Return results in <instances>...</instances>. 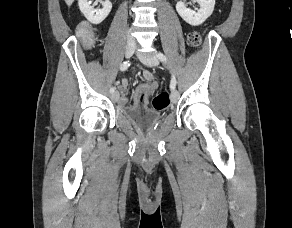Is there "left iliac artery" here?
Listing matches in <instances>:
<instances>
[{
    "label": "left iliac artery",
    "mask_w": 292,
    "mask_h": 228,
    "mask_svg": "<svg viewBox=\"0 0 292 228\" xmlns=\"http://www.w3.org/2000/svg\"><path fill=\"white\" fill-rule=\"evenodd\" d=\"M156 55L160 61H162L163 63H167V58L163 53L157 52ZM175 87H176V78L174 75H172L171 82H170V89L173 91Z\"/></svg>",
    "instance_id": "obj_1"
}]
</instances>
